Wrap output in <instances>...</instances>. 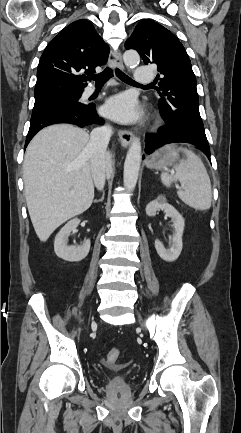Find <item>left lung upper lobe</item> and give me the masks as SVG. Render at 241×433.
<instances>
[{"label":"left lung upper lobe","mask_w":241,"mask_h":433,"mask_svg":"<svg viewBox=\"0 0 241 433\" xmlns=\"http://www.w3.org/2000/svg\"><path fill=\"white\" fill-rule=\"evenodd\" d=\"M125 48L137 50L145 64L157 65L156 78L161 76L158 89L162 91L158 107L165 123L207 140L199 113L196 78L185 48L174 34L156 22L142 20Z\"/></svg>","instance_id":"1"}]
</instances>
